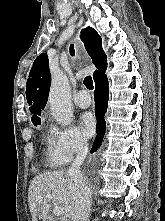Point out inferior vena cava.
Masks as SVG:
<instances>
[{
    "label": "inferior vena cava",
    "mask_w": 165,
    "mask_h": 221,
    "mask_svg": "<svg viewBox=\"0 0 165 221\" xmlns=\"http://www.w3.org/2000/svg\"><path fill=\"white\" fill-rule=\"evenodd\" d=\"M87 152V142L85 140H80L76 148V158L67 171L74 190L71 204L72 221H87L92 203L90 190L80 171V166L82 165Z\"/></svg>",
    "instance_id": "obj_1"
}]
</instances>
